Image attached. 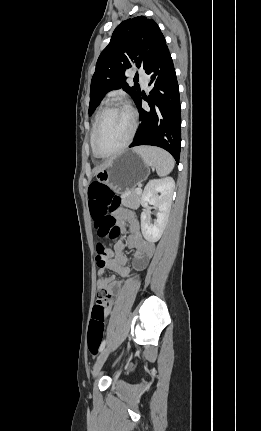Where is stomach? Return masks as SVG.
Listing matches in <instances>:
<instances>
[{
	"instance_id": "obj_1",
	"label": "stomach",
	"mask_w": 261,
	"mask_h": 431,
	"mask_svg": "<svg viewBox=\"0 0 261 431\" xmlns=\"http://www.w3.org/2000/svg\"><path fill=\"white\" fill-rule=\"evenodd\" d=\"M149 174V165L134 149L127 150L96 173L98 182L114 191H130L143 182Z\"/></svg>"
}]
</instances>
